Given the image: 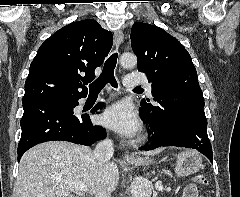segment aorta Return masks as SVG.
<instances>
[{
  "label": "aorta",
  "instance_id": "1",
  "mask_svg": "<svg viewBox=\"0 0 240 197\" xmlns=\"http://www.w3.org/2000/svg\"><path fill=\"white\" fill-rule=\"evenodd\" d=\"M120 63L124 68H132L137 64V58L134 54L124 53L120 58ZM140 190L136 193L137 196H146V192L149 189V184L146 180L140 181Z\"/></svg>",
  "mask_w": 240,
  "mask_h": 197
}]
</instances>
